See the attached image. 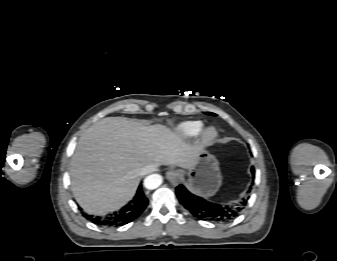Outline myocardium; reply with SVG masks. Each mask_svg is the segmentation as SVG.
I'll return each mask as SVG.
<instances>
[{"mask_svg": "<svg viewBox=\"0 0 337 261\" xmlns=\"http://www.w3.org/2000/svg\"><path fill=\"white\" fill-rule=\"evenodd\" d=\"M218 137V131L215 127H207L201 132V142L204 145L213 144Z\"/></svg>", "mask_w": 337, "mask_h": 261, "instance_id": "obj_1", "label": "myocardium"}]
</instances>
